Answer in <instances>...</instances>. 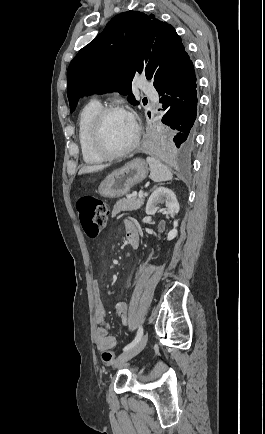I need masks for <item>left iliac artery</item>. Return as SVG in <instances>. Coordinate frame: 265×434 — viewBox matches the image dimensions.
<instances>
[{"instance_id": "1", "label": "left iliac artery", "mask_w": 265, "mask_h": 434, "mask_svg": "<svg viewBox=\"0 0 265 434\" xmlns=\"http://www.w3.org/2000/svg\"><path fill=\"white\" fill-rule=\"evenodd\" d=\"M142 335H143V327L140 326L139 329H138V332H137V335H136L135 339L130 344H128L127 346H125L123 350L127 351L130 348H132L133 346H135L139 342V340L141 339Z\"/></svg>"}]
</instances>
